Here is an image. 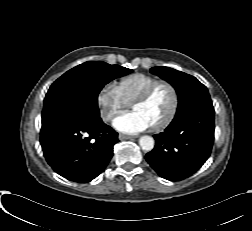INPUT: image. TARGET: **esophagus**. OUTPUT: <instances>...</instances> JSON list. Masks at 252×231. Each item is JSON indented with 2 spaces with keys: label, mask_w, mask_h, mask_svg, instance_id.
<instances>
[{
  "label": "esophagus",
  "mask_w": 252,
  "mask_h": 231,
  "mask_svg": "<svg viewBox=\"0 0 252 231\" xmlns=\"http://www.w3.org/2000/svg\"><path fill=\"white\" fill-rule=\"evenodd\" d=\"M119 139L120 140H130V139H134V136H129V135H124V134H119Z\"/></svg>",
  "instance_id": "34e87169"
}]
</instances>
